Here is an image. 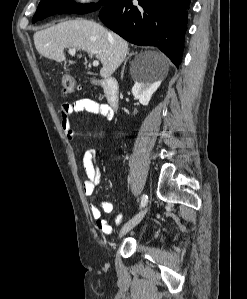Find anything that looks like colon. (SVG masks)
Returning <instances> with one entry per match:
<instances>
[{
	"mask_svg": "<svg viewBox=\"0 0 247 299\" xmlns=\"http://www.w3.org/2000/svg\"><path fill=\"white\" fill-rule=\"evenodd\" d=\"M61 83L63 92L66 94L73 93L77 90V85L74 78L68 73L62 74Z\"/></svg>",
	"mask_w": 247,
	"mask_h": 299,
	"instance_id": "obj_1",
	"label": "colon"
}]
</instances>
